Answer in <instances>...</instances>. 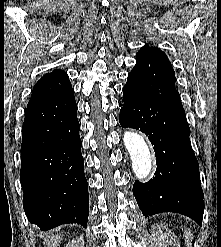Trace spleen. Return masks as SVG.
<instances>
[{
  "instance_id": "spleen-1",
  "label": "spleen",
  "mask_w": 221,
  "mask_h": 247,
  "mask_svg": "<svg viewBox=\"0 0 221 247\" xmlns=\"http://www.w3.org/2000/svg\"><path fill=\"white\" fill-rule=\"evenodd\" d=\"M191 241H192V237H191V232H186L185 235V242L187 243L188 247H191Z\"/></svg>"
}]
</instances>
